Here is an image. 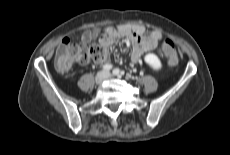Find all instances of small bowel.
<instances>
[{
  "instance_id": "small-bowel-1",
  "label": "small bowel",
  "mask_w": 230,
  "mask_h": 155,
  "mask_svg": "<svg viewBox=\"0 0 230 155\" xmlns=\"http://www.w3.org/2000/svg\"><path fill=\"white\" fill-rule=\"evenodd\" d=\"M162 32L158 29H154L149 33L142 25H118L107 27L102 30L97 39L105 48V54L100 60H96L95 63L102 64L108 61L109 54L108 48L121 40H129L132 44L131 58L134 63L141 61L145 53L157 50L159 55H165L168 57L164 42L160 44L162 40ZM81 39L85 43H89L94 39V34L91 31H85Z\"/></svg>"
}]
</instances>
